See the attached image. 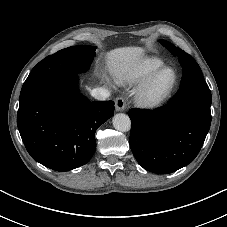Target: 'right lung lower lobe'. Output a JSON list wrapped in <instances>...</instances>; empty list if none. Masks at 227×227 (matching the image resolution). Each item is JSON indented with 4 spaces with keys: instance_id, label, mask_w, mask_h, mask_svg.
<instances>
[{
    "instance_id": "1",
    "label": "right lung lower lobe",
    "mask_w": 227,
    "mask_h": 227,
    "mask_svg": "<svg viewBox=\"0 0 227 227\" xmlns=\"http://www.w3.org/2000/svg\"><path fill=\"white\" fill-rule=\"evenodd\" d=\"M77 74L42 78L23 86L17 125L31 157L69 171L86 164L96 149L97 128L114 114L113 101L90 102L77 87Z\"/></svg>"
}]
</instances>
